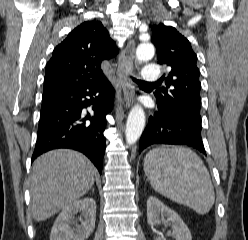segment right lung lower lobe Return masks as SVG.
<instances>
[{"mask_svg":"<svg viewBox=\"0 0 248 240\" xmlns=\"http://www.w3.org/2000/svg\"><path fill=\"white\" fill-rule=\"evenodd\" d=\"M113 97L114 89L106 78L43 96L32 161L46 151L71 148L84 153L101 173L103 132Z\"/></svg>","mask_w":248,"mask_h":240,"instance_id":"right-lung-lower-lobe-1","label":"right lung lower lobe"}]
</instances>
